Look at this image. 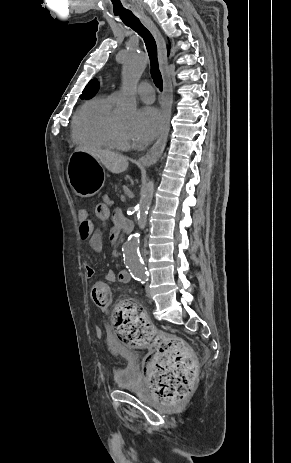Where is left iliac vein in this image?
Wrapping results in <instances>:
<instances>
[{
  "mask_svg": "<svg viewBox=\"0 0 291 463\" xmlns=\"http://www.w3.org/2000/svg\"><path fill=\"white\" fill-rule=\"evenodd\" d=\"M146 295L150 297L149 287L146 288Z\"/></svg>",
  "mask_w": 291,
  "mask_h": 463,
  "instance_id": "left-iliac-vein-1",
  "label": "left iliac vein"
}]
</instances>
